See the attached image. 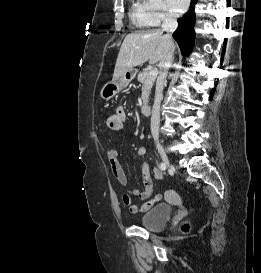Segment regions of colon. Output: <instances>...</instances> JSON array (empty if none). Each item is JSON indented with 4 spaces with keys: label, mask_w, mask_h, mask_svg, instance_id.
<instances>
[{
    "label": "colon",
    "mask_w": 261,
    "mask_h": 273,
    "mask_svg": "<svg viewBox=\"0 0 261 273\" xmlns=\"http://www.w3.org/2000/svg\"><path fill=\"white\" fill-rule=\"evenodd\" d=\"M106 127L112 131H119L121 129V119L119 116L111 115L106 119ZM168 197L172 200H176V196L169 192ZM183 230H187V227L184 226Z\"/></svg>",
    "instance_id": "5ec220e1"
}]
</instances>
